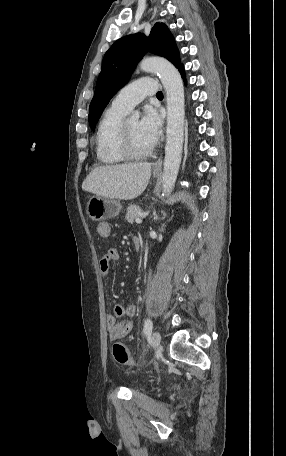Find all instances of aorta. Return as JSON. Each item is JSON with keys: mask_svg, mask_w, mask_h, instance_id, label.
Here are the masks:
<instances>
[{"mask_svg": "<svg viewBox=\"0 0 286 456\" xmlns=\"http://www.w3.org/2000/svg\"><path fill=\"white\" fill-rule=\"evenodd\" d=\"M139 68L144 72L157 73L166 91L167 130L162 187L163 195L167 196L174 189L182 156L185 122L183 81L179 71L163 58H145ZM139 117L140 113L136 111L131 119L138 120Z\"/></svg>", "mask_w": 286, "mask_h": 456, "instance_id": "1", "label": "aorta"}]
</instances>
